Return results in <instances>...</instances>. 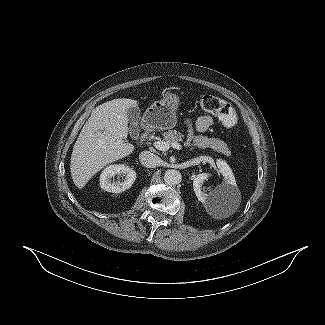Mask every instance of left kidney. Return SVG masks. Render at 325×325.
<instances>
[{"instance_id":"left-kidney-1","label":"left kidney","mask_w":325,"mask_h":325,"mask_svg":"<svg viewBox=\"0 0 325 325\" xmlns=\"http://www.w3.org/2000/svg\"><path fill=\"white\" fill-rule=\"evenodd\" d=\"M216 164L219 172L224 177V181L222 184L218 185L215 190H213V192L205 193L202 191V185L210 174H198L193 181V189L198 200L207 207H210L212 204L219 202V200L224 195H228L230 193L234 194L238 192L235 177L229 165L223 160H217Z\"/></svg>"}]
</instances>
